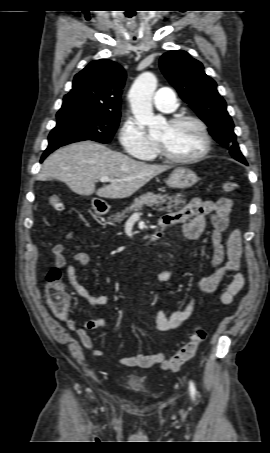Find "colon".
Masks as SVG:
<instances>
[{"mask_svg": "<svg viewBox=\"0 0 270 453\" xmlns=\"http://www.w3.org/2000/svg\"><path fill=\"white\" fill-rule=\"evenodd\" d=\"M222 187L225 192H234L239 186L235 180H226ZM48 205L55 211L64 210V203L57 195H51L48 198ZM46 280V294L49 308L56 316H68L71 309V300L64 288L61 270L53 267L48 271ZM206 337L207 333L204 329H196L191 335L190 340L162 363V368L170 371L180 369L182 365L195 356L199 346L206 340Z\"/></svg>", "mask_w": 270, "mask_h": 453, "instance_id": "5ec220e1", "label": "colon"}]
</instances>
